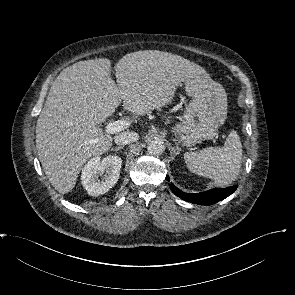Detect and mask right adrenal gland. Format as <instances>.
I'll return each instance as SVG.
<instances>
[{
    "label": "right adrenal gland",
    "instance_id": "obj_1",
    "mask_svg": "<svg viewBox=\"0 0 295 295\" xmlns=\"http://www.w3.org/2000/svg\"><path fill=\"white\" fill-rule=\"evenodd\" d=\"M124 147L123 146H116L115 148H111V151H119L121 149H123Z\"/></svg>",
    "mask_w": 295,
    "mask_h": 295
}]
</instances>
